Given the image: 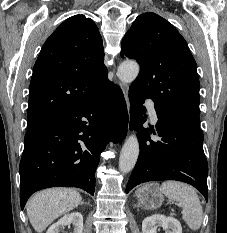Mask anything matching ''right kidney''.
I'll list each match as a JSON object with an SVG mask.
<instances>
[{
  "label": "right kidney",
  "instance_id": "obj_1",
  "mask_svg": "<svg viewBox=\"0 0 227 233\" xmlns=\"http://www.w3.org/2000/svg\"><path fill=\"white\" fill-rule=\"evenodd\" d=\"M70 224L74 226L73 233H82L83 231V216L79 212H73L71 214H67L63 216L60 220L56 223L51 225L46 233H58L60 228Z\"/></svg>",
  "mask_w": 227,
  "mask_h": 233
}]
</instances>
